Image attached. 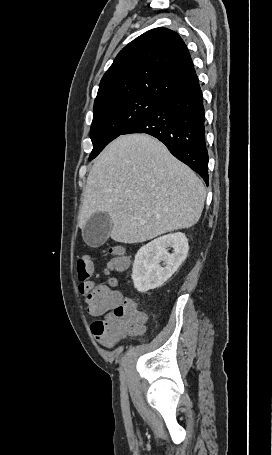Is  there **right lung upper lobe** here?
I'll return each mask as SVG.
<instances>
[{"instance_id":"1","label":"right lung upper lobe","mask_w":272,"mask_h":455,"mask_svg":"<svg viewBox=\"0 0 272 455\" xmlns=\"http://www.w3.org/2000/svg\"><path fill=\"white\" fill-rule=\"evenodd\" d=\"M197 81L181 37L170 29L155 28L118 53L101 79L94 107L135 96L164 100Z\"/></svg>"}]
</instances>
